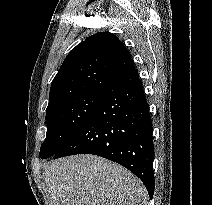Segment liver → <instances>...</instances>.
I'll return each instance as SVG.
<instances>
[{"label":"liver","mask_w":212,"mask_h":205,"mask_svg":"<svg viewBox=\"0 0 212 205\" xmlns=\"http://www.w3.org/2000/svg\"><path fill=\"white\" fill-rule=\"evenodd\" d=\"M43 176L50 205H146L148 193L141 181L96 155L52 161Z\"/></svg>","instance_id":"1"}]
</instances>
